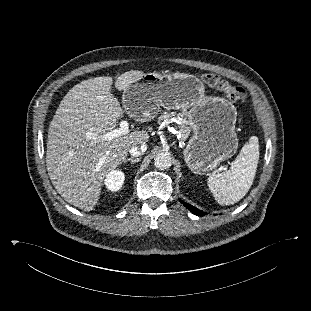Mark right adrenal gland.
Wrapping results in <instances>:
<instances>
[{"instance_id": "obj_1", "label": "right adrenal gland", "mask_w": 311, "mask_h": 311, "mask_svg": "<svg viewBox=\"0 0 311 311\" xmlns=\"http://www.w3.org/2000/svg\"><path fill=\"white\" fill-rule=\"evenodd\" d=\"M140 157H130V158H127L124 160V163H127L128 161L131 162V164H134L136 162H139L140 161Z\"/></svg>"}]
</instances>
